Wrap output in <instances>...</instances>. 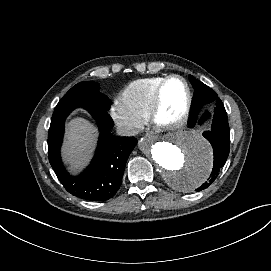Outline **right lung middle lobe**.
Returning a JSON list of instances; mask_svg holds the SVG:
<instances>
[{
	"label": "right lung middle lobe",
	"instance_id": "right-lung-middle-lobe-1",
	"mask_svg": "<svg viewBox=\"0 0 271 271\" xmlns=\"http://www.w3.org/2000/svg\"><path fill=\"white\" fill-rule=\"evenodd\" d=\"M110 104V100L98 91L97 83L84 81L72 87L59 101L54 111L80 105H92L108 111Z\"/></svg>",
	"mask_w": 271,
	"mask_h": 271
}]
</instances>
